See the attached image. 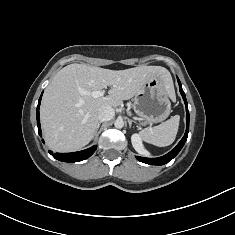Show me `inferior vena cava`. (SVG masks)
Instances as JSON below:
<instances>
[{
  "mask_svg": "<svg viewBox=\"0 0 235 235\" xmlns=\"http://www.w3.org/2000/svg\"><path fill=\"white\" fill-rule=\"evenodd\" d=\"M115 115L114 109L110 106L100 108L98 112V119L101 122L110 121Z\"/></svg>",
  "mask_w": 235,
  "mask_h": 235,
  "instance_id": "obj_1",
  "label": "inferior vena cava"
}]
</instances>
